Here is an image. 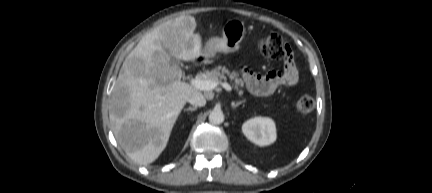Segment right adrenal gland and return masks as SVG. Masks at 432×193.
Returning a JSON list of instances; mask_svg holds the SVG:
<instances>
[{"label": "right adrenal gland", "instance_id": "right-adrenal-gland-1", "mask_svg": "<svg viewBox=\"0 0 432 193\" xmlns=\"http://www.w3.org/2000/svg\"><path fill=\"white\" fill-rule=\"evenodd\" d=\"M195 110H197V107H188L184 109V111H191V112Z\"/></svg>", "mask_w": 432, "mask_h": 193}]
</instances>
